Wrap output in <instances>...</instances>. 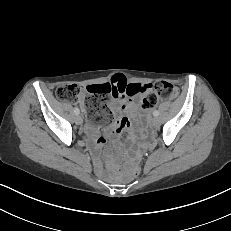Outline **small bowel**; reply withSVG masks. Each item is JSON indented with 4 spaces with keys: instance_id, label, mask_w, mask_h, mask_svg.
I'll return each mask as SVG.
<instances>
[{
    "instance_id": "1",
    "label": "small bowel",
    "mask_w": 231,
    "mask_h": 231,
    "mask_svg": "<svg viewBox=\"0 0 231 231\" xmlns=\"http://www.w3.org/2000/svg\"><path fill=\"white\" fill-rule=\"evenodd\" d=\"M108 84L115 88V92L111 96L110 108L115 113L116 119L111 126L109 135L117 139L124 130H130L133 126V119L138 111L142 108L137 97H141L149 90V84H138L129 82L122 74H115L111 77ZM145 88V91L133 92V88ZM85 93L81 95L78 104L83 107ZM87 133L94 138L97 147L103 146L107 139L101 134L97 127L88 123L86 126Z\"/></svg>"
}]
</instances>
